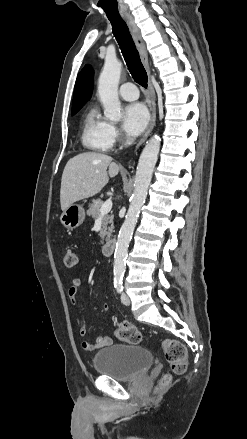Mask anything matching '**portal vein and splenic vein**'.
<instances>
[{
  "label": "portal vein and splenic vein",
  "mask_w": 247,
  "mask_h": 439,
  "mask_svg": "<svg viewBox=\"0 0 247 439\" xmlns=\"http://www.w3.org/2000/svg\"><path fill=\"white\" fill-rule=\"evenodd\" d=\"M111 208H112V200L107 199L100 209V216H103V215L107 214L108 212H110Z\"/></svg>",
  "instance_id": "18ae733b"
}]
</instances>
